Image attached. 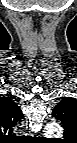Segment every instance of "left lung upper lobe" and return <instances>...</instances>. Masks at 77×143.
Wrapping results in <instances>:
<instances>
[{
  "label": "left lung upper lobe",
  "instance_id": "left-lung-upper-lobe-1",
  "mask_svg": "<svg viewBox=\"0 0 77 143\" xmlns=\"http://www.w3.org/2000/svg\"><path fill=\"white\" fill-rule=\"evenodd\" d=\"M52 116L64 126V135L69 138L77 131V101L72 98L61 100L53 109Z\"/></svg>",
  "mask_w": 77,
  "mask_h": 143
}]
</instances>
